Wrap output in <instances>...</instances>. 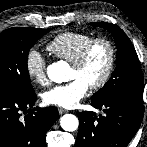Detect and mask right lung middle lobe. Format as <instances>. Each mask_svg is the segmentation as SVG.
<instances>
[{
  "label": "right lung middle lobe",
  "instance_id": "right-lung-middle-lobe-1",
  "mask_svg": "<svg viewBox=\"0 0 147 147\" xmlns=\"http://www.w3.org/2000/svg\"><path fill=\"white\" fill-rule=\"evenodd\" d=\"M49 31L17 27L0 33V95L15 97L34 91L27 68L28 53Z\"/></svg>",
  "mask_w": 147,
  "mask_h": 147
}]
</instances>
